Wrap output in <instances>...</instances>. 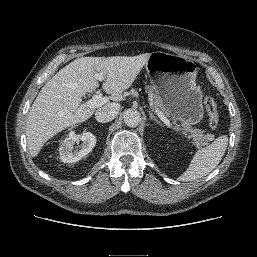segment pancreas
I'll return each mask as SVG.
<instances>
[{"label": "pancreas", "instance_id": "cf45deb5", "mask_svg": "<svg viewBox=\"0 0 257 257\" xmlns=\"http://www.w3.org/2000/svg\"><path fill=\"white\" fill-rule=\"evenodd\" d=\"M146 89L148 90L149 98H150V101L152 102V104L156 108L162 110L168 117H170L169 113L165 110L160 97L156 94L153 87L152 86H146ZM182 130H183L184 133L189 132L188 138L192 139L191 143L196 148L199 149L202 146H205V145L208 144L206 136L203 134V131H201L200 129H193L189 125H182Z\"/></svg>", "mask_w": 257, "mask_h": 257}]
</instances>
